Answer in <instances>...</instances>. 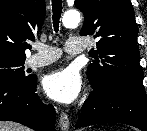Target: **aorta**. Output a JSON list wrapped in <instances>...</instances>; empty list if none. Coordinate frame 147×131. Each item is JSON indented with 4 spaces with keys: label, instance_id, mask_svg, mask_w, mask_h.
Masks as SVG:
<instances>
[{
    "label": "aorta",
    "instance_id": "762f6f07",
    "mask_svg": "<svg viewBox=\"0 0 147 131\" xmlns=\"http://www.w3.org/2000/svg\"><path fill=\"white\" fill-rule=\"evenodd\" d=\"M80 22V14L77 11H67L65 12L62 23L66 28L76 27Z\"/></svg>",
    "mask_w": 147,
    "mask_h": 131
}]
</instances>
